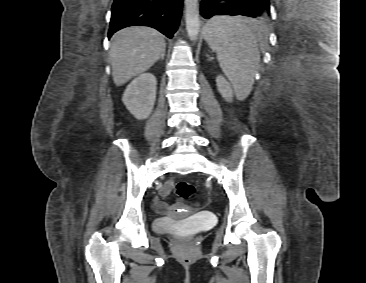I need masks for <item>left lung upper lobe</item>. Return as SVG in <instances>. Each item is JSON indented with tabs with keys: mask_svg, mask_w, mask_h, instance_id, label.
<instances>
[{
	"mask_svg": "<svg viewBox=\"0 0 366 283\" xmlns=\"http://www.w3.org/2000/svg\"><path fill=\"white\" fill-rule=\"evenodd\" d=\"M263 2V5L266 7V11L264 14H262L261 16H259L260 18H268L270 17V4H269V0H260ZM258 18V17H256Z\"/></svg>",
	"mask_w": 366,
	"mask_h": 283,
	"instance_id": "1",
	"label": "left lung upper lobe"
}]
</instances>
